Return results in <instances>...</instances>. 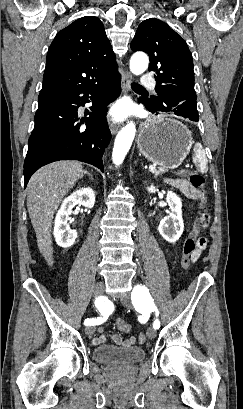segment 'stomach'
Returning a JSON list of instances; mask_svg holds the SVG:
<instances>
[{"mask_svg": "<svg viewBox=\"0 0 243 409\" xmlns=\"http://www.w3.org/2000/svg\"><path fill=\"white\" fill-rule=\"evenodd\" d=\"M192 144L189 129L180 121L165 116L145 122L137 139L140 153L165 169L179 167Z\"/></svg>", "mask_w": 243, "mask_h": 409, "instance_id": "obj_1", "label": "stomach"}]
</instances>
